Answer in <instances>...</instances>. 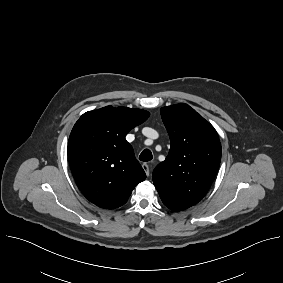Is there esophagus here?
Masks as SVG:
<instances>
[{"label": "esophagus", "instance_id": "34e87169", "mask_svg": "<svg viewBox=\"0 0 283 283\" xmlns=\"http://www.w3.org/2000/svg\"><path fill=\"white\" fill-rule=\"evenodd\" d=\"M142 167H143V169H144V171H145L146 175H147V176H149V174H150V168H149V165H148V164H146V163H144V164H142Z\"/></svg>", "mask_w": 283, "mask_h": 283}]
</instances>
